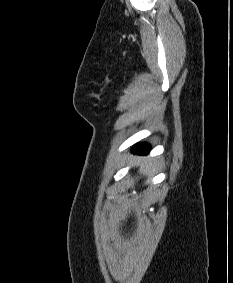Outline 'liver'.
<instances>
[{"instance_id": "obj_1", "label": "liver", "mask_w": 233, "mask_h": 283, "mask_svg": "<svg viewBox=\"0 0 233 283\" xmlns=\"http://www.w3.org/2000/svg\"><path fill=\"white\" fill-rule=\"evenodd\" d=\"M151 166L152 164L149 161H144L140 164V168L144 170V172H147Z\"/></svg>"}]
</instances>
